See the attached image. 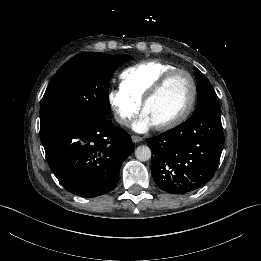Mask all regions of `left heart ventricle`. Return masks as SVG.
<instances>
[{"label":"left heart ventricle","mask_w":261,"mask_h":261,"mask_svg":"<svg viewBox=\"0 0 261 261\" xmlns=\"http://www.w3.org/2000/svg\"><path fill=\"white\" fill-rule=\"evenodd\" d=\"M191 97V85L186 75L176 74L163 91L150 102L144 113L154 125L162 124L177 117L186 107Z\"/></svg>","instance_id":"obj_1"}]
</instances>
